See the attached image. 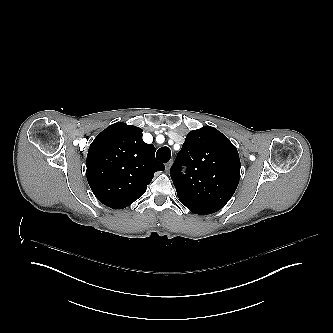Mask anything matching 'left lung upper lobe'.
I'll return each instance as SVG.
<instances>
[{
  "label": "left lung upper lobe",
  "mask_w": 333,
  "mask_h": 333,
  "mask_svg": "<svg viewBox=\"0 0 333 333\" xmlns=\"http://www.w3.org/2000/svg\"><path fill=\"white\" fill-rule=\"evenodd\" d=\"M182 166H187L185 175ZM170 174L183 205L211 214L226 205L238 186L239 154L224 134L205 126L188 133Z\"/></svg>",
  "instance_id": "left-lung-upper-lobe-1"
}]
</instances>
